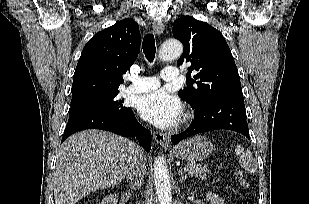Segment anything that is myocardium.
<instances>
[{
  "label": "myocardium",
  "mask_w": 309,
  "mask_h": 204,
  "mask_svg": "<svg viewBox=\"0 0 309 204\" xmlns=\"http://www.w3.org/2000/svg\"><path fill=\"white\" fill-rule=\"evenodd\" d=\"M187 118H188V116H185V119H184V120L186 121V120H187Z\"/></svg>",
  "instance_id": "myocardium-1"
}]
</instances>
